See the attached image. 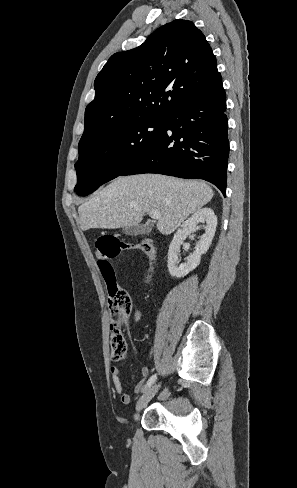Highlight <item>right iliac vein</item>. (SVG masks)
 Segmentation results:
<instances>
[{"mask_svg":"<svg viewBox=\"0 0 297 488\" xmlns=\"http://www.w3.org/2000/svg\"><path fill=\"white\" fill-rule=\"evenodd\" d=\"M160 387V384H155L152 387L148 388L144 394L140 397V399L137 402L136 405V410L140 411L142 410L148 402L154 397V395L158 392Z\"/></svg>","mask_w":297,"mask_h":488,"instance_id":"right-iliac-vein-1","label":"right iliac vein"}]
</instances>
